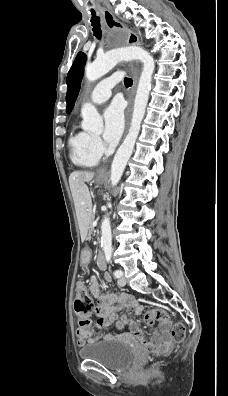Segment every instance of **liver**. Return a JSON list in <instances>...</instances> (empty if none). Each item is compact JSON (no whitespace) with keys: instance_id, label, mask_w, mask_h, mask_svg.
<instances>
[{"instance_id":"6515ba94","label":"liver","mask_w":228,"mask_h":396,"mask_svg":"<svg viewBox=\"0 0 228 396\" xmlns=\"http://www.w3.org/2000/svg\"><path fill=\"white\" fill-rule=\"evenodd\" d=\"M94 177V172L75 171L69 176V185L75 205L77 217L81 226L82 240L85 238L83 224L91 216L92 200L88 186L85 182H90Z\"/></svg>"}]
</instances>
